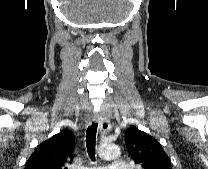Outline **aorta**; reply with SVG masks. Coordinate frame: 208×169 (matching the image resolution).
I'll list each match as a JSON object with an SVG mask.
<instances>
[{
	"label": "aorta",
	"instance_id": "obj_1",
	"mask_svg": "<svg viewBox=\"0 0 208 169\" xmlns=\"http://www.w3.org/2000/svg\"><path fill=\"white\" fill-rule=\"evenodd\" d=\"M121 155L119 146L111 143H104L99 147V156L105 160L116 159Z\"/></svg>",
	"mask_w": 208,
	"mask_h": 169
}]
</instances>
